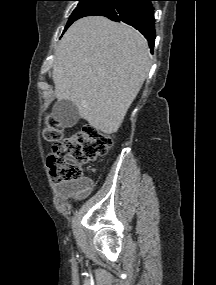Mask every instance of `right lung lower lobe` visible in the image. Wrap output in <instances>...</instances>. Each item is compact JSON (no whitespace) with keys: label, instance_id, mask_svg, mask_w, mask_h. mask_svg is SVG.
<instances>
[{"label":"right lung lower lobe","instance_id":"right-lung-lower-lobe-1","mask_svg":"<svg viewBox=\"0 0 216 285\" xmlns=\"http://www.w3.org/2000/svg\"><path fill=\"white\" fill-rule=\"evenodd\" d=\"M154 0H118L95 15L105 16L116 22H124L139 30L149 42L153 53L155 42Z\"/></svg>","mask_w":216,"mask_h":285}]
</instances>
